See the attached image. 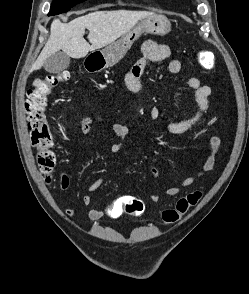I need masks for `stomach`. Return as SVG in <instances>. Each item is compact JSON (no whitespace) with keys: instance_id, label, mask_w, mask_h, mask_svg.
I'll return each instance as SVG.
<instances>
[{"instance_id":"1","label":"stomach","mask_w":249,"mask_h":294,"mask_svg":"<svg viewBox=\"0 0 249 294\" xmlns=\"http://www.w3.org/2000/svg\"><path fill=\"white\" fill-rule=\"evenodd\" d=\"M170 28L171 24L164 15L152 13L137 22L120 40L94 54V57L99 58L101 69L112 67L126 55L142 33L165 35L170 31Z\"/></svg>"}]
</instances>
